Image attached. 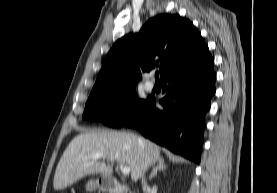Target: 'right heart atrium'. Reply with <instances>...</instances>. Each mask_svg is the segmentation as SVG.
<instances>
[{"label": "right heart atrium", "mask_w": 277, "mask_h": 193, "mask_svg": "<svg viewBox=\"0 0 277 193\" xmlns=\"http://www.w3.org/2000/svg\"><path fill=\"white\" fill-rule=\"evenodd\" d=\"M131 109V102L127 98H121L117 100L112 108V115L114 118L122 119L125 118Z\"/></svg>", "instance_id": "d8ad5b80"}]
</instances>
